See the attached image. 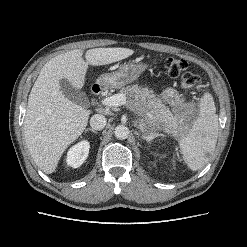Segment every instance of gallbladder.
I'll return each instance as SVG.
<instances>
[{
	"label": "gallbladder",
	"instance_id": "obj_1",
	"mask_svg": "<svg viewBox=\"0 0 247 247\" xmlns=\"http://www.w3.org/2000/svg\"><path fill=\"white\" fill-rule=\"evenodd\" d=\"M61 91L65 97L70 99L71 101L83 106L87 107L89 104L87 95L81 91L73 87L70 82L66 79L60 80Z\"/></svg>",
	"mask_w": 247,
	"mask_h": 247
}]
</instances>
